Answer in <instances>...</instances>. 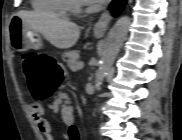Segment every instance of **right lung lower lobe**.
<instances>
[{
    "label": "right lung lower lobe",
    "instance_id": "1",
    "mask_svg": "<svg viewBox=\"0 0 182 140\" xmlns=\"http://www.w3.org/2000/svg\"><path fill=\"white\" fill-rule=\"evenodd\" d=\"M125 3H126V0H113L112 6H111L113 12L116 15L119 14L122 11Z\"/></svg>",
    "mask_w": 182,
    "mask_h": 140
}]
</instances>
